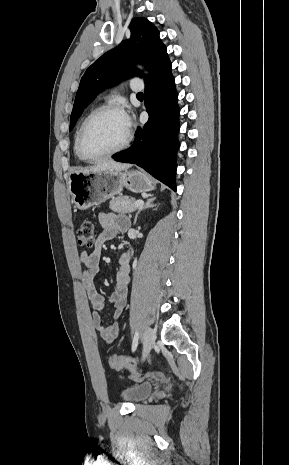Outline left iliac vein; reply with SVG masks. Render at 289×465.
<instances>
[{
	"instance_id": "obj_1",
	"label": "left iliac vein",
	"mask_w": 289,
	"mask_h": 465,
	"mask_svg": "<svg viewBox=\"0 0 289 465\" xmlns=\"http://www.w3.org/2000/svg\"><path fill=\"white\" fill-rule=\"evenodd\" d=\"M155 342V332L152 328L146 327L143 333V357L146 358Z\"/></svg>"
}]
</instances>
